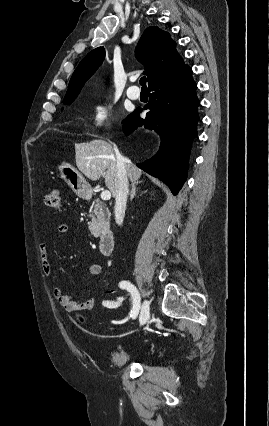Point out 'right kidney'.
Listing matches in <instances>:
<instances>
[{
    "mask_svg": "<svg viewBox=\"0 0 269 426\" xmlns=\"http://www.w3.org/2000/svg\"><path fill=\"white\" fill-rule=\"evenodd\" d=\"M125 297L124 296H119L118 300H116L115 302H109V301H105L103 302V308L106 309L107 311H115L118 309V305L120 304V301H124Z\"/></svg>",
    "mask_w": 269,
    "mask_h": 426,
    "instance_id": "obj_1",
    "label": "right kidney"
}]
</instances>
